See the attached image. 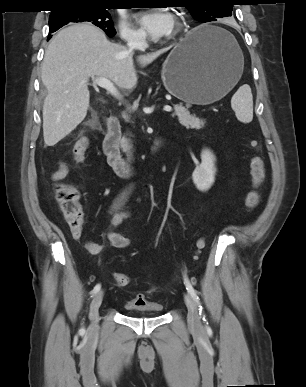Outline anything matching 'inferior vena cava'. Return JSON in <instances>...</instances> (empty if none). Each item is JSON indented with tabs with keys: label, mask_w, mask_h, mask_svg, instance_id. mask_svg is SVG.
Wrapping results in <instances>:
<instances>
[{
	"label": "inferior vena cava",
	"mask_w": 306,
	"mask_h": 387,
	"mask_svg": "<svg viewBox=\"0 0 306 387\" xmlns=\"http://www.w3.org/2000/svg\"><path fill=\"white\" fill-rule=\"evenodd\" d=\"M127 46L132 51L134 49L144 50L148 45L143 37H131L128 40Z\"/></svg>",
	"instance_id": "1"
}]
</instances>
